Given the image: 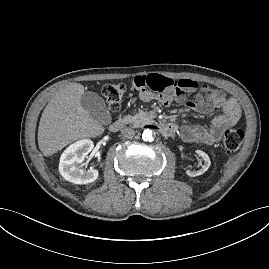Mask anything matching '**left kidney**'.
Listing matches in <instances>:
<instances>
[{
  "instance_id": "1",
  "label": "left kidney",
  "mask_w": 269,
  "mask_h": 269,
  "mask_svg": "<svg viewBox=\"0 0 269 269\" xmlns=\"http://www.w3.org/2000/svg\"><path fill=\"white\" fill-rule=\"evenodd\" d=\"M196 153L198 154V156L202 157V159L204 160V164H201V168L197 171L187 170L186 174L190 177L202 175L203 173H205L208 170V168L211 165L210 158L205 152H203L201 150H196Z\"/></svg>"
}]
</instances>
